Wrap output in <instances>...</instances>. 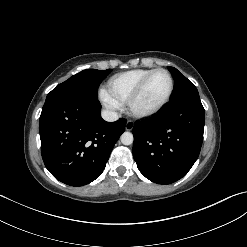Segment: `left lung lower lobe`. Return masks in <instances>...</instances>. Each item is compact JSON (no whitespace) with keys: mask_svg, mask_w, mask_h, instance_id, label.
<instances>
[{"mask_svg":"<svg viewBox=\"0 0 247 247\" xmlns=\"http://www.w3.org/2000/svg\"><path fill=\"white\" fill-rule=\"evenodd\" d=\"M205 110L199 96L168 103L156 116L133 127V157L140 172L158 184L173 183L197 160Z\"/></svg>","mask_w":247,"mask_h":247,"instance_id":"1","label":"left lung lower lobe"}]
</instances>
